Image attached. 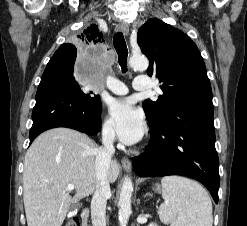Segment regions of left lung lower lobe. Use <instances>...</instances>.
Wrapping results in <instances>:
<instances>
[{
	"instance_id": "obj_1",
	"label": "left lung lower lobe",
	"mask_w": 247,
	"mask_h": 226,
	"mask_svg": "<svg viewBox=\"0 0 247 226\" xmlns=\"http://www.w3.org/2000/svg\"><path fill=\"white\" fill-rule=\"evenodd\" d=\"M212 100L186 104L150 127L148 150L133 159L141 177L187 176L201 182L218 203L219 160L215 149Z\"/></svg>"
}]
</instances>
